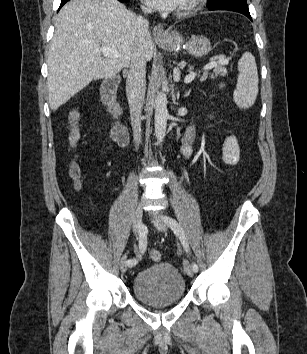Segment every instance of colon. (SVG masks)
Here are the masks:
<instances>
[{
	"instance_id": "1",
	"label": "colon",
	"mask_w": 307,
	"mask_h": 354,
	"mask_svg": "<svg viewBox=\"0 0 307 354\" xmlns=\"http://www.w3.org/2000/svg\"><path fill=\"white\" fill-rule=\"evenodd\" d=\"M69 140L72 144L76 143L79 137L77 129L78 112L73 110L69 113ZM71 176L76 181L79 182L80 169L78 165L74 164L71 167ZM152 261L158 262L161 259V253L159 251L153 250L149 254Z\"/></svg>"
}]
</instances>
